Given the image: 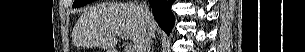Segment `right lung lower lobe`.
I'll return each instance as SVG.
<instances>
[{"mask_svg": "<svg viewBox=\"0 0 305 52\" xmlns=\"http://www.w3.org/2000/svg\"><path fill=\"white\" fill-rule=\"evenodd\" d=\"M175 0H149L153 15L160 28L167 34L174 26V15L171 12V5Z\"/></svg>", "mask_w": 305, "mask_h": 52, "instance_id": "98d812e1", "label": "right lung lower lobe"}]
</instances>
